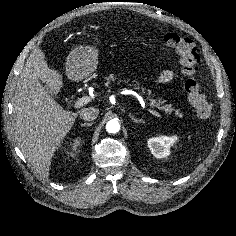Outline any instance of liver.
I'll return each instance as SVG.
<instances>
[{"label":"liver","instance_id":"1","mask_svg":"<svg viewBox=\"0 0 236 236\" xmlns=\"http://www.w3.org/2000/svg\"><path fill=\"white\" fill-rule=\"evenodd\" d=\"M62 85V75L51 69L42 50L35 48L17 82L13 116L18 146L42 178H48L54 152L78 115L54 100Z\"/></svg>","mask_w":236,"mask_h":236}]
</instances>
